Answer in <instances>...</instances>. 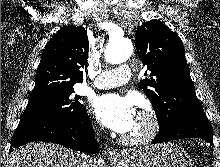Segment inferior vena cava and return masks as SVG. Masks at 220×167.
<instances>
[{"mask_svg": "<svg viewBox=\"0 0 220 167\" xmlns=\"http://www.w3.org/2000/svg\"><path fill=\"white\" fill-rule=\"evenodd\" d=\"M77 167H94V160L87 154H79Z\"/></svg>", "mask_w": 220, "mask_h": 167, "instance_id": "602c4592", "label": "inferior vena cava"}]
</instances>
